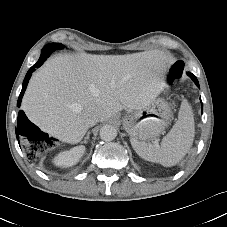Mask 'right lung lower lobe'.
Segmentation results:
<instances>
[{
  "label": "right lung lower lobe",
  "instance_id": "1",
  "mask_svg": "<svg viewBox=\"0 0 227 227\" xmlns=\"http://www.w3.org/2000/svg\"><path fill=\"white\" fill-rule=\"evenodd\" d=\"M54 50H52V48L48 47V46H45L43 49H42V52H41V56L38 60V62L36 64H34L30 69L29 71L27 72L26 76H25V79L23 81V86H22V90H21V93L19 95V98H18V102H17V106L19 107L20 104H21V99L23 97V94L26 90V87H27V84H28V81L31 77V74L32 72H34L35 68H39L43 63L44 61L49 57V55L53 52ZM30 126H33L35 128H37L34 124H32L28 118L26 117L25 113L23 111H19V114H18V121H17V129H18V132L19 133H27V129L28 127ZM38 129V128H37ZM16 137L17 139H19V135L18 133L16 132Z\"/></svg>",
  "mask_w": 227,
  "mask_h": 227
}]
</instances>
